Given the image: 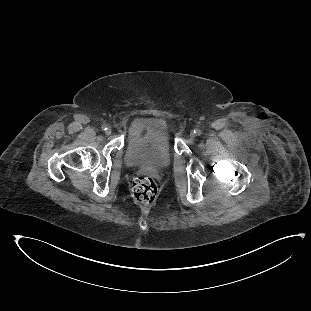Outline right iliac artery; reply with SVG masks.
I'll use <instances>...</instances> for the list:
<instances>
[{
	"label": "right iliac artery",
	"instance_id": "1",
	"mask_svg": "<svg viewBox=\"0 0 311 311\" xmlns=\"http://www.w3.org/2000/svg\"><path fill=\"white\" fill-rule=\"evenodd\" d=\"M101 129H102L103 131H105V130H107V126H106V125H102Z\"/></svg>",
	"mask_w": 311,
	"mask_h": 311
}]
</instances>
